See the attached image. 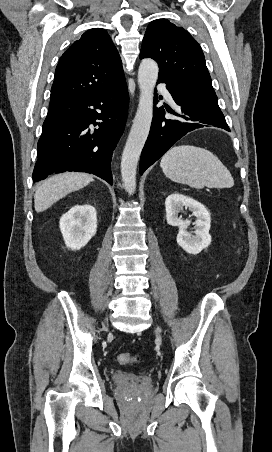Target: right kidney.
<instances>
[{
  "mask_svg": "<svg viewBox=\"0 0 272 452\" xmlns=\"http://www.w3.org/2000/svg\"><path fill=\"white\" fill-rule=\"evenodd\" d=\"M60 230L68 248L81 249L96 234V209L89 204L73 206L60 218Z\"/></svg>",
  "mask_w": 272,
  "mask_h": 452,
  "instance_id": "obj_1",
  "label": "right kidney"
}]
</instances>
